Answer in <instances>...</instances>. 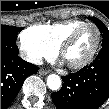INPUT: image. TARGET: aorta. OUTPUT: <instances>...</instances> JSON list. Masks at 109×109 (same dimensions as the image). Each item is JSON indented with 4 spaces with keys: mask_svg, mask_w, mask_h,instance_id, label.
I'll list each match as a JSON object with an SVG mask.
<instances>
[{
    "mask_svg": "<svg viewBox=\"0 0 109 109\" xmlns=\"http://www.w3.org/2000/svg\"><path fill=\"white\" fill-rule=\"evenodd\" d=\"M47 86L49 89L57 91L61 87V79L56 74H51L47 77Z\"/></svg>",
    "mask_w": 109,
    "mask_h": 109,
    "instance_id": "762f6f07",
    "label": "aorta"
}]
</instances>
